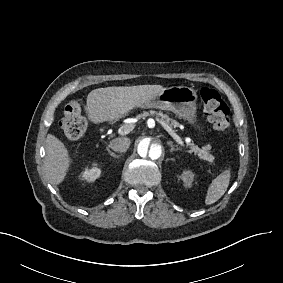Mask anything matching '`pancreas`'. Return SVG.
<instances>
[{"mask_svg":"<svg viewBox=\"0 0 283 283\" xmlns=\"http://www.w3.org/2000/svg\"><path fill=\"white\" fill-rule=\"evenodd\" d=\"M148 115H155L157 120L164 121L166 124H168L171 127H179L180 126L179 122L170 118L167 114H164L161 111L156 112V111L152 110L149 113L145 112L143 114L137 115V119L144 118ZM125 126L134 127L135 125L134 124H127ZM187 146H189L191 151L194 152L195 154H197L200 159L206 160L210 163H213L215 157L209 153V150L211 149L210 145L199 148L197 145H195L193 142H191V143H188Z\"/></svg>","mask_w":283,"mask_h":283,"instance_id":"1","label":"pancreas"}]
</instances>
